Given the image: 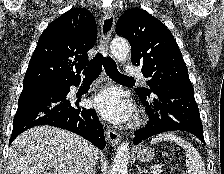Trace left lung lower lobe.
I'll return each mask as SVG.
<instances>
[{
  "label": "left lung lower lobe",
  "mask_w": 224,
  "mask_h": 174,
  "mask_svg": "<svg viewBox=\"0 0 224 174\" xmlns=\"http://www.w3.org/2000/svg\"><path fill=\"white\" fill-rule=\"evenodd\" d=\"M149 115L148 124L135 132L134 144L163 132L187 131L203 143L202 122L194 89L189 86H152L149 94L137 93Z\"/></svg>",
  "instance_id": "0a47b994"
}]
</instances>
